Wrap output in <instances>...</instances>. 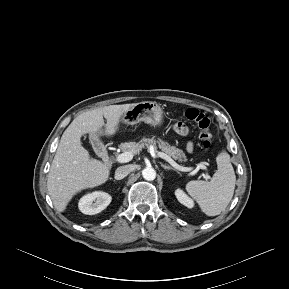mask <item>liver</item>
<instances>
[{
    "label": "liver",
    "mask_w": 289,
    "mask_h": 289,
    "mask_svg": "<svg viewBox=\"0 0 289 289\" xmlns=\"http://www.w3.org/2000/svg\"><path fill=\"white\" fill-rule=\"evenodd\" d=\"M135 104L110 105L83 112L64 131L47 178L48 193L59 212L66 210L79 191L105 183L110 175L109 167L92 158L82 146L81 137L89 134L98 139L115 135L121 117Z\"/></svg>",
    "instance_id": "obj_1"
}]
</instances>
